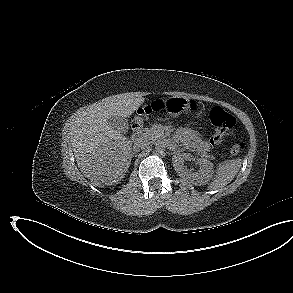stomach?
Wrapping results in <instances>:
<instances>
[{
    "instance_id": "0dacf381",
    "label": "stomach",
    "mask_w": 293,
    "mask_h": 293,
    "mask_svg": "<svg viewBox=\"0 0 293 293\" xmlns=\"http://www.w3.org/2000/svg\"><path fill=\"white\" fill-rule=\"evenodd\" d=\"M189 105L190 101L184 97H170L165 103V109L171 117H178Z\"/></svg>"
}]
</instances>
